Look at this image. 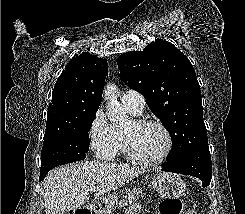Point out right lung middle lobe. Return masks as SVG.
Masks as SVG:
<instances>
[{
	"label": "right lung middle lobe",
	"mask_w": 245,
	"mask_h": 214,
	"mask_svg": "<svg viewBox=\"0 0 245 214\" xmlns=\"http://www.w3.org/2000/svg\"><path fill=\"white\" fill-rule=\"evenodd\" d=\"M97 111L83 115L70 128L45 134L41 151L40 176L56 166L84 160L89 150V130Z\"/></svg>",
	"instance_id": "1"
}]
</instances>
